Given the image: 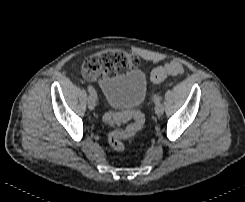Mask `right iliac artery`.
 <instances>
[{"mask_svg":"<svg viewBox=\"0 0 245 202\" xmlns=\"http://www.w3.org/2000/svg\"><path fill=\"white\" fill-rule=\"evenodd\" d=\"M88 91L90 93V95L94 98V99H97V94H96V91L95 89L92 87V86H88Z\"/></svg>","mask_w":245,"mask_h":202,"instance_id":"right-iliac-artery-1","label":"right iliac artery"}]
</instances>
